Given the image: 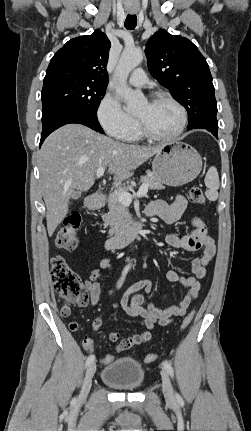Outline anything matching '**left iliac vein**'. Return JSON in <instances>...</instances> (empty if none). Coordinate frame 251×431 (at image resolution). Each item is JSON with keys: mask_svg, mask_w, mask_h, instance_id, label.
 I'll use <instances>...</instances> for the list:
<instances>
[{"mask_svg": "<svg viewBox=\"0 0 251 431\" xmlns=\"http://www.w3.org/2000/svg\"><path fill=\"white\" fill-rule=\"evenodd\" d=\"M162 390L167 401H174V392L168 373L165 370L161 371Z\"/></svg>", "mask_w": 251, "mask_h": 431, "instance_id": "1", "label": "left iliac vein"}]
</instances>
